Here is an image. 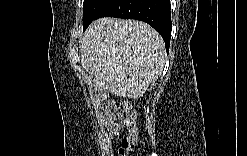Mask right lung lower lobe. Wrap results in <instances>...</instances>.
I'll return each mask as SVG.
<instances>
[{"label":"right lung lower lobe","mask_w":247,"mask_h":156,"mask_svg":"<svg viewBox=\"0 0 247 156\" xmlns=\"http://www.w3.org/2000/svg\"><path fill=\"white\" fill-rule=\"evenodd\" d=\"M101 17L144 21L160 33L169 50L172 28L169 0H108L94 20Z\"/></svg>","instance_id":"right-lung-lower-lobe-1"}]
</instances>
